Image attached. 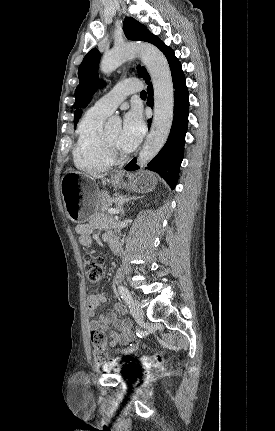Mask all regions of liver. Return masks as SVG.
Wrapping results in <instances>:
<instances>
[{"label":"liver","mask_w":275,"mask_h":431,"mask_svg":"<svg viewBox=\"0 0 275 431\" xmlns=\"http://www.w3.org/2000/svg\"><path fill=\"white\" fill-rule=\"evenodd\" d=\"M93 178L95 179L103 178V175H93Z\"/></svg>","instance_id":"6515ba94"}]
</instances>
